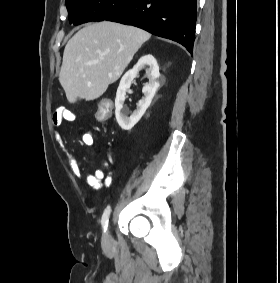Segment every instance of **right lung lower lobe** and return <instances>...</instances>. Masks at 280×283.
Segmentation results:
<instances>
[{
	"instance_id": "right-lung-lower-lobe-1",
	"label": "right lung lower lobe",
	"mask_w": 280,
	"mask_h": 283,
	"mask_svg": "<svg viewBox=\"0 0 280 283\" xmlns=\"http://www.w3.org/2000/svg\"><path fill=\"white\" fill-rule=\"evenodd\" d=\"M196 5L197 0H132L105 20L142 28L176 41L192 53Z\"/></svg>"
}]
</instances>
